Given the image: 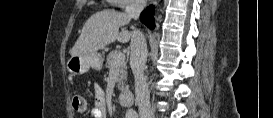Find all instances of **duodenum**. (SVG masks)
I'll use <instances>...</instances> for the list:
<instances>
[{
    "instance_id": "410a0bca",
    "label": "duodenum",
    "mask_w": 273,
    "mask_h": 118,
    "mask_svg": "<svg viewBox=\"0 0 273 118\" xmlns=\"http://www.w3.org/2000/svg\"><path fill=\"white\" fill-rule=\"evenodd\" d=\"M119 102L125 107H131L135 103V96L130 90H123L119 93Z\"/></svg>"
}]
</instances>
